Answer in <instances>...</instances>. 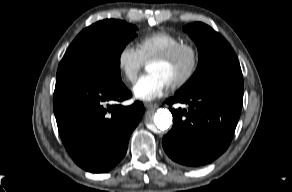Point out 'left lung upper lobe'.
<instances>
[{
	"label": "left lung upper lobe",
	"mask_w": 292,
	"mask_h": 192,
	"mask_svg": "<svg viewBox=\"0 0 292 192\" xmlns=\"http://www.w3.org/2000/svg\"><path fill=\"white\" fill-rule=\"evenodd\" d=\"M183 30L197 45L199 64L193 76L176 94H188L211 87H243L240 64L224 37L201 22L189 24Z\"/></svg>",
	"instance_id": "1"
}]
</instances>
